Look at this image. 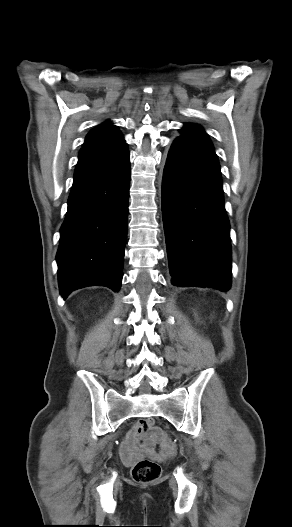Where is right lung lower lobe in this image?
Wrapping results in <instances>:
<instances>
[{
	"label": "right lung lower lobe",
	"mask_w": 292,
	"mask_h": 527,
	"mask_svg": "<svg viewBox=\"0 0 292 527\" xmlns=\"http://www.w3.org/2000/svg\"><path fill=\"white\" fill-rule=\"evenodd\" d=\"M130 158L125 141L80 150L56 255L64 299L78 288L118 291L127 239Z\"/></svg>",
	"instance_id": "obj_1"
}]
</instances>
